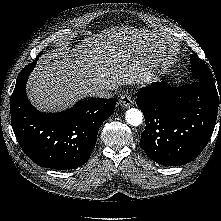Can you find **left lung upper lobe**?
<instances>
[{"label": "left lung upper lobe", "mask_w": 221, "mask_h": 221, "mask_svg": "<svg viewBox=\"0 0 221 221\" xmlns=\"http://www.w3.org/2000/svg\"><path fill=\"white\" fill-rule=\"evenodd\" d=\"M191 72L195 81H202L211 87H215V82L211 71L208 69L206 64L197 56L191 55ZM219 90V87L217 88Z\"/></svg>", "instance_id": "left-lung-upper-lobe-1"}]
</instances>
